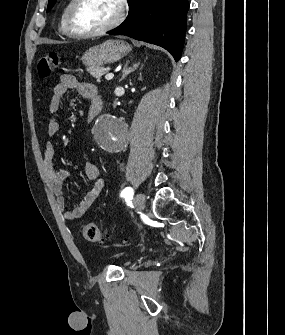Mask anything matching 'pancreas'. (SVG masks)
I'll return each mask as SVG.
<instances>
[{
  "label": "pancreas",
  "instance_id": "obj_1",
  "mask_svg": "<svg viewBox=\"0 0 285 335\" xmlns=\"http://www.w3.org/2000/svg\"><path fill=\"white\" fill-rule=\"evenodd\" d=\"M109 70L110 68H93V66H89L88 68V72H90L91 76H94V78H98V82L101 76H103L105 72H109Z\"/></svg>",
  "mask_w": 285,
  "mask_h": 335
}]
</instances>
